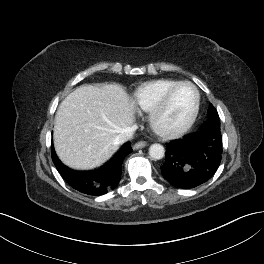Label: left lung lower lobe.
Returning a JSON list of instances; mask_svg holds the SVG:
<instances>
[{"instance_id":"1","label":"left lung lower lobe","mask_w":264,"mask_h":264,"mask_svg":"<svg viewBox=\"0 0 264 264\" xmlns=\"http://www.w3.org/2000/svg\"><path fill=\"white\" fill-rule=\"evenodd\" d=\"M222 150L221 131L202 124L197 133L166 145L162 175L178 188H195L214 175L221 162Z\"/></svg>"}]
</instances>
